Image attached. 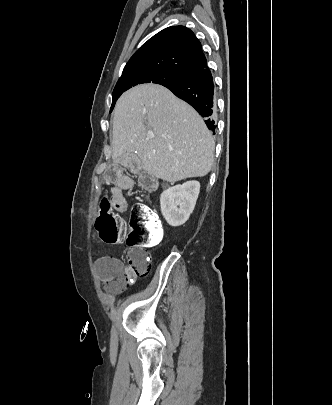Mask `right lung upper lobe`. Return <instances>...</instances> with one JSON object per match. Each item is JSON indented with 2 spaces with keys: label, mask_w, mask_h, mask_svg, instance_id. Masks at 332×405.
I'll return each mask as SVG.
<instances>
[{
  "label": "right lung upper lobe",
  "mask_w": 332,
  "mask_h": 405,
  "mask_svg": "<svg viewBox=\"0 0 332 405\" xmlns=\"http://www.w3.org/2000/svg\"><path fill=\"white\" fill-rule=\"evenodd\" d=\"M206 67V57L194 33L184 26H172L143 44L127 62L122 75L156 70L186 77Z\"/></svg>",
  "instance_id": "right-lung-upper-lobe-1"
}]
</instances>
